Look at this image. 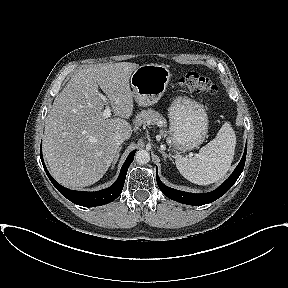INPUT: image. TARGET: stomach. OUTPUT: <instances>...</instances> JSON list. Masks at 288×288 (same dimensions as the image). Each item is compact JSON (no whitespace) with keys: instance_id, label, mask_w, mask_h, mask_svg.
<instances>
[{"instance_id":"stomach-1","label":"stomach","mask_w":288,"mask_h":288,"mask_svg":"<svg viewBox=\"0 0 288 288\" xmlns=\"http://www.w3.org/2000/svg\"><path fill=\"white\" fill-rule=\"evenodd\" d=\"M170 78L171 72L164 64L139 66L130 78L135 101L143 107L157 103ZM168 117V134L174 151L185 152L203 143L208 133V116L203 105L188 97H177L168 109Z\"/></svg>"}]
</instances>
